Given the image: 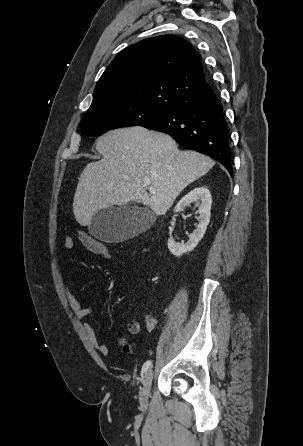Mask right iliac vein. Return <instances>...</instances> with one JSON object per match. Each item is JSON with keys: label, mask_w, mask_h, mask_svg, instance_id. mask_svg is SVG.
Here are the masks:
<instances>
[{"label": "right iliac vein", "mask_w": 303, "mask_h": 446, "mask_svg": "<svg viewBox=\"0 0 303 446\" xmlns=\"http://www.w3.org/2000/svg\"><path fill=\"white\" fill-rule=\"evenodd\" d=\"M153 376H154V374H153L152 369H149L148 371H146V373L144 375L143 383H142L143 387L141 388L140 393H139L140 403L143 406H145L147 404Z\"/></svg>", "instance_id": "1"}]
</instances>
